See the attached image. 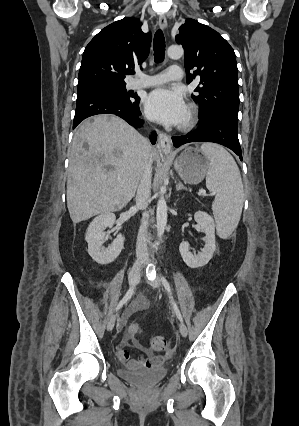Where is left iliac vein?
I'll return each mask as SVG.
<instances>
[{
  "label": "left iliac vein",
  "mask_w": 299,
  "mask_h": 426,
  "mask_svg": "<svg viewBox=\"0 0 299 426\" xmlns=\"http://www.w3.org/2000/svg\"><path fill=\"white\" fill-rule=\"evenodd\" d=\"M148 283H149L152 287L157 288V287H160V285H161V279H160L158 276H154L152 279H149ZM179 331H180V334H181L183 337H186V336H187V333H188V331H187V327H186V325H185L183 322H181V323L179 324Z\"/></svg>",
  "instance_id": "left-iliac-vein-1"
}]
</instances>
